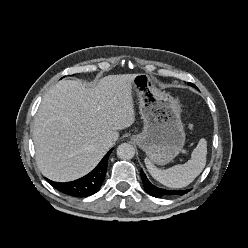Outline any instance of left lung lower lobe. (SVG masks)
<instances>
[{
	"mask_svg": "<svg viewBox=\"0 0 248 248\" xmlns=\"http://www.w3.org/2000/svg\"><path fill=\"white\" fill-rule=\"evenodd\" d=\"M140 174L145 191L151 196H154L156 198H161L163 196H170V195H184L185 193L190 191V190H180V191L166 190V189L158 188L149 182L142 169L140 171Z\"/></svg>",
	"mask_w": 248,
	"mask_h": 248,
	"instance_id": "0a47b994",
	"label": "left lung lower lobe"
}]
</instances>
